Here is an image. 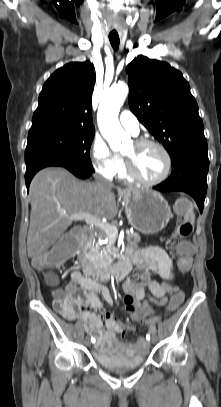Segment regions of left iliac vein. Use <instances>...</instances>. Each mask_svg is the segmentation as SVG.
Instances as JSON below:
<instances>
[{
  "mask_svg": "<svg viewBox=\"0 0 221 407\" xmlns=\"http://www.w3.org/2000/svg\"><path fill=\"white\" fill-rule=\"evenodd\" d=\"M157 341V337H156V335L154 334L153 336H152V343H155ZM148 344H149V342H147V346H148Z\"/></svg>",
  "mask_w": 221,
  "mask_h": 407,
  "instance_id": "left-iliac-vein-1",
  "label": "left iliac vein"
}]
</instances>
